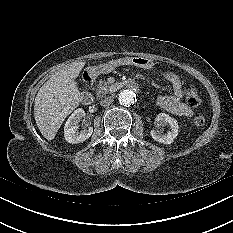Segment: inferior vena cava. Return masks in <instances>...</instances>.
<instances>
[{
  "mask_svg": "<svg viewBox=\"0 0 233 233\" xmlns=\"http://www.w3.org/2000/svg\"><path fill=\"white\" fill-rule=\"evenodd\" d=\"M114 100V97L113 96H109V97H106L105 99L101 100L100 101V104L102 106H109Z\"/></svg>",
  "mask_w": 233,
  "mask_h": 233,
  "instance_id": "inferior-vena-cava-1",
  "label": "inferior vena cava"
}]
</instances>
